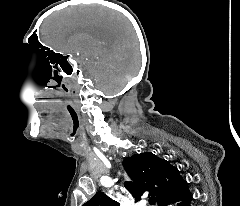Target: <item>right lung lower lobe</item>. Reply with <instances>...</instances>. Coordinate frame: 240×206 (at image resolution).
I'll return each mask as SVG.
<instances>
[{
  "label": "right lung lower lobe",
  "instance_id": "obj_1",
  "mask_svg": "<svg viewBox=\"0 0 240 206\" xmlns=\"http://www.w3.org/2000/svg\"><path fill=\"white\" fill-rule=\"evenodd\" d=\"M190 199H191V195L188 189V185L186 184L183 188H181L175 194L159 202L158 206H166L167 204L174 203L176 201H182V203H180L181 206H189L188 204Z\"/></svg>",
  "mask_w": 240,
  "mask_h": 206
}]
</instances>
